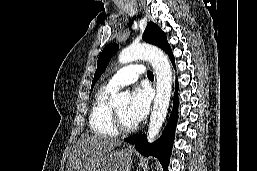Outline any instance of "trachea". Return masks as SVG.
<instances>
[{
    "label": "trachea",
    "mask_w": 257,
    "mask_h": 171,
    "mask_svg": "<svg viewBox=\"0 0 257 171\" xmlns=\"http://www.w3.org/2000/svg\"><path fill=\"white\" fill-rule=\"evenodd\" d=\"M147 77H148L149 79H154L153 72L148 71V72H147Z\"/></svg>",
    "instance_id": "trachea-1"
}]
</instances>
